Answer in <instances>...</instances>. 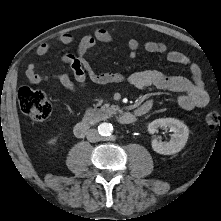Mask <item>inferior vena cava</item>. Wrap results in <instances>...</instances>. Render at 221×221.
Segmentation results:
<instances>
[{
    "label": "inferior vena cava",
    "mask_w": 221,
    "mask_h": 221,
    "mask_svg": "<svg viewBox=\"0 0 221 221\" xmlns=\"http://www.w3.org/2000/svg\"><path fill=\"white\" fill-rule=\"evenodd\" d=\"M87 140L90 142H98L100 141V135L96 129H90L87 132Z\"/></svg>",
    "instance_id": "obj_1"
}]
</instances>
